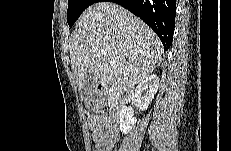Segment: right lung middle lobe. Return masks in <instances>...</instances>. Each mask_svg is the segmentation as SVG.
<instances>
[{
  "label": "right lung middle lobe",
  "mask_w": 231,
  "mask_h": 151,
  "mask_svg": "<svg viewBox=\"0 0 231 151\" xmlns=\"http://www.w3.org/2000/svg\"><path fill=\"white\" fill-rule=\"evenodd\" d=\"M98 0H68L67 22L70 27L76 22L82 12Z\"/></svg>",
  "instance_id": "dd1d6c3e"
}]
</instances>
